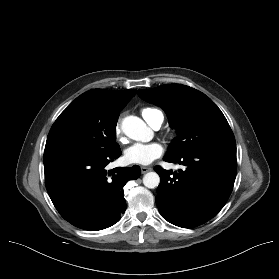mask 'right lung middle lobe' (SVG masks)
I'll return each mask as SVG.
<instances>
[{
  "instance_id": "1",
  "label": "right lung middle lobe",
  "mask_w": 279,
  "mask_h": 279,
  "mask_svg": "<svg viewBox=\"0 0 279 279\" xmlns=\"http://www.w3.org/2000/svg\"><path fill=\"white\" fill-rule=\"evenodd\" d=\"M119 114L98 110L80 95L54 122L44 154L64 150L109 153L118 149L115 129Z\"/></svg>"
}]
</instances>
